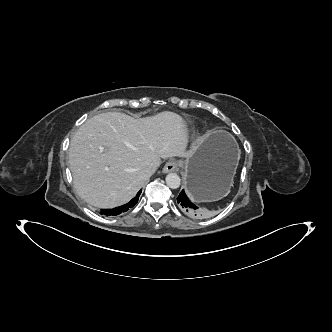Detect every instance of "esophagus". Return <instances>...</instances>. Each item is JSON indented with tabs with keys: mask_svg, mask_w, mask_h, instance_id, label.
Here are the masks:
<instances>
[{
	"mask_svg": "<svg viewBox=\"0 0 332 332\" xmlns=\"http://www.w3.org/2000/svg\"><path fill=\"white\" fill-rule=\"evenodd\" d=\"M178 163L175 160H169L163 167V173H169L177 170Z\"/></svg>",
	"mask_w": 332,
	"mask_h": 332,
	"instance_id": "obj_1",
	"label": "esophagus"
}]
</instances>
